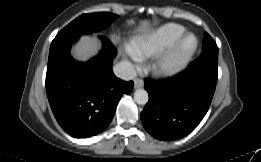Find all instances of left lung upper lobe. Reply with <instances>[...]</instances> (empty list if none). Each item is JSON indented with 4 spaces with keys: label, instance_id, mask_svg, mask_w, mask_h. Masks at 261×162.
<instances>
[{
    "label": "left lung upper lobe",
    "instance_id": "5c2ea615",
    "mask_svg": "<svg viewBox=\"0 0 261 162\" xmlns=\"http://www.w3.org/2000/svg\"><path fill=\"white\" fill-rule=\"evenodd\" d=\"M202 50H203V52L218 53V47H217L216 43L207 33L204 34Z\"/></svg>",
    "mask_w": 261,
    "mask_h": 162
}]
</instances>
